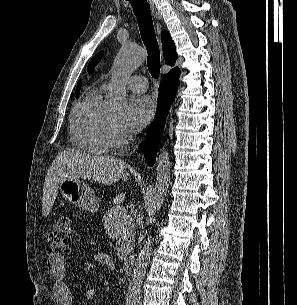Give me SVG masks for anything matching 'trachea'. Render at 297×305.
Listing matches in <instances>:
<instances>
[{"label":"trachea","instance_id":"3493384b","mask_svg":"<svg viewBox=\"0 0 297 305\" xmlns=\"http://www.w3.org/2000/svg\"><path fill=\"white\" fill-rule=\"evenodd\" d=\"M129 1L137 17L141 37L148 53V70L152 77L157 79L160 73V50L154 31L149 4L147 0Z\"/></svg>","mask_w":297,"mask_h":305}]
</instances>
